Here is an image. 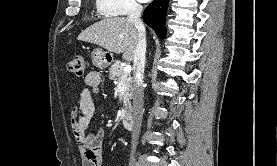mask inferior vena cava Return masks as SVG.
I'll use <instances>...</instances> for the list:
<instances>
[{
    "instance_id": "602c4592",
    "label": "inferior vena cava",
    "mask_w": 277,
    "mask_h": 166,
    "mask_svg": "<svg viewBox=\"0 0 277 166\" xmlns=\"http://www.w3.org/2000/svg\"><path fill=\"white\" fill-rule=\"evenodd\" d=\"M142 5L133 2L128 12V22L134 24L138 30V41L134 53V80H133V131H132V150L131 155L135 153L143 117V74L146 60V30L141 21Z\"/></svg>"
}]
</instances>
